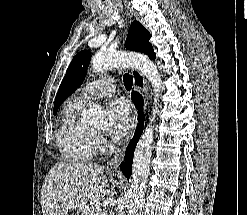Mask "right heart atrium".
<instances>
[{
  "label": "right heart atrium",
  "mask_w": 247,
  "mask_h": 215,
  "mask_svg": "<svg viewBox=\"0 0 247 215\" xmlns=\"http://www.w3.org/2000/svg\"><path fill=\"white\" fill-rule=\"evenodd\" d=\"M95 141L97 144V148H99L100 150H104L106 148L107 141L102 135H97L95 137Z\"/></svg>",
  "instance_id": "d8ad5b80"
}]
</instances>
